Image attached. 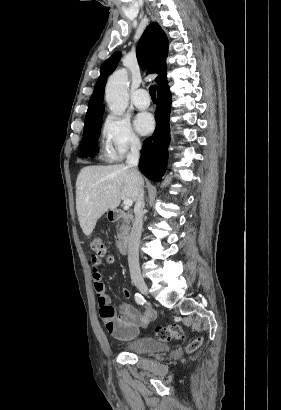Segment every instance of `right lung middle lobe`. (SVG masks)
I'll return each mask as SVG.
<instances>
[{
  "label": "right lung middle lobe",
  "instance_id": "obj_1",
  "mask_svg": "<svg viewBox=\"0 0 281 410\" xmlns=\"http://www.w3.org/2000/svg\"><path fill=\"white\" fill-rule=\"evenodd\" d=\"M103 122V116L97 119L85 122L84 135L81 144V150L85 157L92 156L96 149V144L100 135V129Z\"/></svg>",
  "mask_w": 281,
  "mask_h": 410
}]
</instances>
